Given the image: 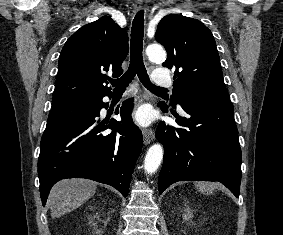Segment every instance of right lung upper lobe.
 <instances>
[{
	"mask_svg": "<svg viewBox=\"0 0 283 235\" xmlns=\"http://www.w3.org/2000/svg\"><path fill=\"white\" fill-rule=\"evenodd\" d=\"M127 54V32L111 17L84 25L61 51L53 103L111 94L104 86L108 77L103 72L113 71V75L120 76Z\"/></svg>",
	"mask_w": 283,
	"mask_h": 235,
	"instance_id": "right-lung-upper-lobe-1",
	"label": "right lung upper lobe"
}]
</instances>
